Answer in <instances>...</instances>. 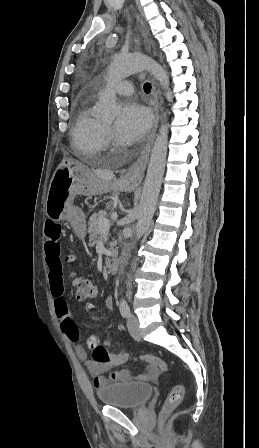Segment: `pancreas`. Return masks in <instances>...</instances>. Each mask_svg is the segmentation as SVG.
I'll use <instances>...</instances> for the list:
<instances>
[{"instance_id": "cf45deb5", "label": "pancreas", "mask_w": 259, "mask_h": 448, "mask_svg": "<svg viewBox=\"0 0 259 448\" xmlns=\"http://www.w3.org/2000/svg\"><path fill=\"white\" fill-rule=\"evenodd\" d=\"M107 216L105 210H100L98 214H93V216H90V222H88L89 226V242H92V244H95L96 240H99V238H102L103 242H107L110 234L109 232H100L98 228V224L101 220V218H105ZM117 242H111L110 244V250L112 252L111 258H117L118 254V248H116ZM111 260H107V264H109Z\"/></svg>"}]
</instances>
